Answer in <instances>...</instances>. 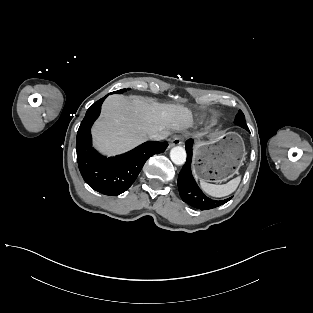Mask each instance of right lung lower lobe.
I'll list each match as a JSON object with an SVG mask.
<instances>
[{"instance_id":"right-lung-lower-lobe-1","label":"right lung lower lobe","mask_w":313,"mask_h":313,"mask_svg":"<svg viewBox=\"0 0 313 313\" xmlns=\"http://www.w3.org/2000/svg\"><path fill=\"white\" fill-rule=\"evenodd\" d=\"M107 96L87 110L77 132L76 151L79 170L85 182L102 194L117 196L133 184L147 159L164 152L168 143L148 141L125 154L109 158L98 154L92 147L90 129Z\"/></svg>"}]
</instances>
